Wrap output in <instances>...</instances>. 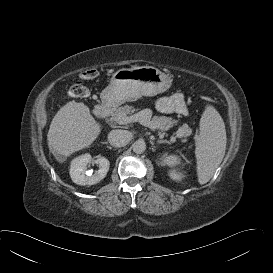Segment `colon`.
<instances>
[{
	"instance_id": "colon-1",
	"label": "colon",
	"mask_w": 273,
	"mask_h": 273,
	"mask_svg": "<svg viewBox=\"0 0 273 273\" xmlns=\"http://www.w3.org/2000/svg\"><path fill=\"white\" fill-rule=\"evenodd\" d=\"M97 76V70L88 69L81 74L84 80L93 79ZM70 93L74 97H86L89 93L88 89L81 83L76 82L70 87Z\"/></svg>"
}]
</instances>
